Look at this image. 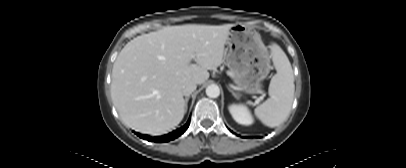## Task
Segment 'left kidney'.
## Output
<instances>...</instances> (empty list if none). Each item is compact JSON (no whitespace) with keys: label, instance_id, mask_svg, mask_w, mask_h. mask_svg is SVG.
<instances>
[{"label":"left kidney","instance_id":"5707ae66","mask_svg":"<svg viewBox=\"0 0 406 168\" xmlns=\"http://www.w3.org/2000/svg\"><path fill=\"white\" fill-rule=\"evenodd\" d=\"M233 119L242 125H251L254 120L253 117L245 105L232 104L228 107Z\"/></svg>","mask_w":406,"mask_h":168}]
</instances>
